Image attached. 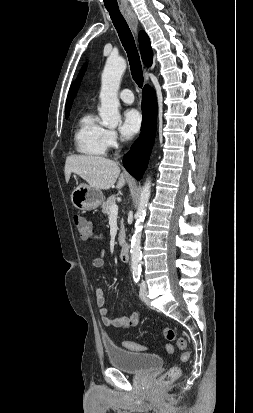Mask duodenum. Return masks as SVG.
<instances>
[{
    "label": "duodenum",
    "instance_id": "410a0bca",
    "mask_svg": "<svg viewBox=\"0 0 253 413\" xmlns=\"http://www.w3.org/2000/svg\"><path fill=\"white\" fill-rule=\"evenodd\" d=\"M119 257L122 262H128L130 253H129V247L126 243L122 245L120 253H119Z\"/></svg>",
    "mask_w": 253,
    "mask_h": 413
}]
</instances>
